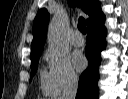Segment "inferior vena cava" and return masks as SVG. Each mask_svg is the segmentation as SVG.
<instances>
[{
    "label": "inferior vena cava",
    "mask_w": 128,
    "mask_h": 99,
    "mask_svg": "<svg viewBox=\"0 0 128 99\" xmlns=\"http://www.w3.org/2000/svg\"><path fill=\"white\" fill-rule=\"evenodd\" d=\"M78 87L77 77H71L63 89L61 99H75Z\"/></svg>",
    "instance_id": "inferior-vena-cava-1"
}]
</instances>
